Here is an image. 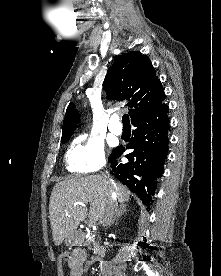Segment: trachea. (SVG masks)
<instances>
[{"instance_id": "obj_1", "label": "trachea", "mask_w": 221, "mask_h": 276, "mask_svg": "<svg viewBox=\"0 0 221 276\" xmlns=\"http://www.w3.org/2000/svg\"><path fill=\"white\" fill-rule=\"evenodd\" d=\"M122 122H123L124 125H129L130 124L129 116L127 114L123 115Z\"/></svg>"}]
</instances>
